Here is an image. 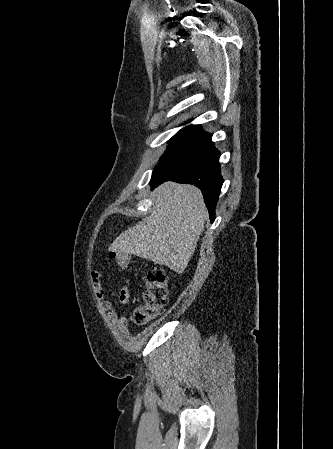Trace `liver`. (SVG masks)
<instances>
[{"mask_svg":"<svg viewBox=\"0 0 333 449\" xmlns=\"http://www.w3.org/2000/svg\"><path fill=\"white\" fill-rule=\"evenodd\" d=\"M153 209L133 228L121 233L109 251L134 254L182 273L203 232L207 209L192 185L166 182L153 194Z\"/></svg>","mask_w":333,"mask_h":449,"instance_id":"6515ba94","label":"liver"}]
</instances>
